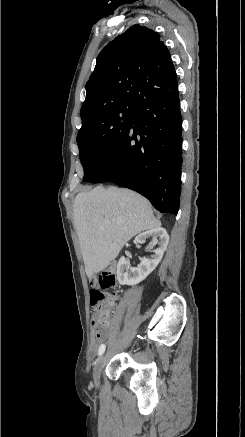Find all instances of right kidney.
Wrapping results in <instances>:
<instances>
[{"instance_id": "obj_1", "label": "right kidney", "mask_w": 245, "mask_h": 437, "mask_svg": "<svg viewBox=\"0 0 245 437\" xmlns=\"http://www.w3.org/2000/svg\"><path fill=\"white\" fill-rule=\"evenodd\" d=\"M152 238V244L148 247L151 251L154 244L158 248L150 258L143 257L138 267H131L125 257H121L117 265V280L121 285H136L143 281L159 264L169 243V235L164 228H155L145 231L136 236L134 243L143 244L147 238Z\"/></svg>"}]
</instances>
